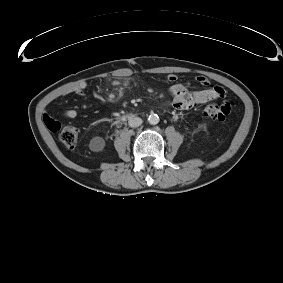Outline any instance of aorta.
<instances>
[{
    "label": "aorta",
    "mask_w": 283,
    "mask_h": 283,
    "mask_svg": "<svg viewBox=\"0 0 283 283\" xmlns=\"http://www.w3.org/2000/svg\"><path fill=\"white\" fill-rule=\"evenodd\" d=\"M148 122L151 124V125H156L159 123V116L157 114H150L149 117H148Z\"/></svg>",
    "instance_id": "obj_1"
}]
</instances>
